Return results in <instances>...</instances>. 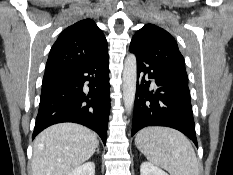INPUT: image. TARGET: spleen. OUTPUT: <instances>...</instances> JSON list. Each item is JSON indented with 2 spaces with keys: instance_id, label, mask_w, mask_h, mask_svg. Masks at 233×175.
Wrapping results in <instances>:
<instances>
[{
  "instance_id": "3e777b00",
  "label": "spleen",
  "mask_w": 233,
  "mask_h": 175,
  "mask_svg": "<svg viewBox=\"0 0 233 175\" xmlns=\"http://www.w3.org/2000/svg\"><path fill=\"white\" fill-rule=\"evenodd\" d=\"M135 145L152 163L170 175H199L194 149L181 132L167 127H146L135 138Z\"/></svg>"
}]
</instances>
